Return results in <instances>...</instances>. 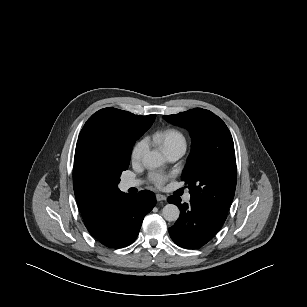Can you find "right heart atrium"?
<instances>
[{"label": "right heart atrium", "instance_id": "1", "mask_svg": "<svg viewBox=\"0 0 307 307\" xmlns=\"http://www.w3.org/2000/svg\"><path fill=\"white\" fill-rule=\"evenodd\" d=\"M147 147L148 143L145 139L139 140L132 148L131 160L134 162L139 161L143 157Z\"/></svg>", "mask_w": 307, "mask_h": 307}]
</instances>
